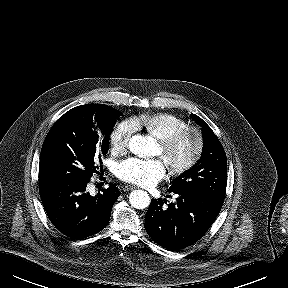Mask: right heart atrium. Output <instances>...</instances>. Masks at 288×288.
I'll list each match as a JSON object with an SVG mask.
<instances>
[{"label":"right heart atrium","mask_w":288,"mask_h":288,"mask_svg":"<svg viewBox=\"0 0 288 288\" xmlns=\"http://www.w3.org/2000/svg\"><path fill=\"white\" fill-rule=\"evenodd\" d=\"M135 131V125L130 120L117 124L110 136L112 149L117 152H124L129 145L130 138Z\"/></svg>","instance_id":"d8ad5b80"}]
</instances>
